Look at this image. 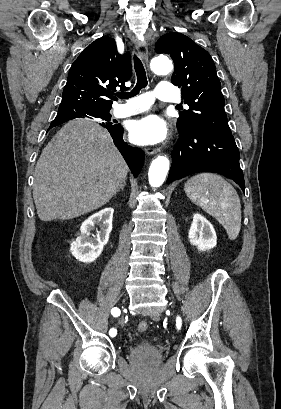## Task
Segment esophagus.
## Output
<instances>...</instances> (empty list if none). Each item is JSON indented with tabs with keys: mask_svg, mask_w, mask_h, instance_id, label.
Wrapping results in <instances>:
<instances>
[{
	"mask_svg": "<svg viewBox=\"0 0 281 409\" xmlns=\"http://www.w3.org/2000/svg\"><path fill=\"white\" fill-rule=\"evenodd\" d=\"M136 50L140 57L148 64V47L145 41H137L136 44ZM160 151V149H146V153L149 155L156 154Z\"/></svg>",
	"mask_w": 281,
	"mask_h": 409,
	"instance_id": "esophagus-1",
	"label": "esophagus"
}]
</instances>
